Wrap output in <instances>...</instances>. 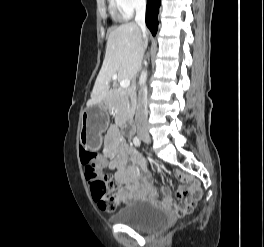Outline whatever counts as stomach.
Here are the masks:
<instances>
[{
  "instance_id": "1",
  "label": "stomach",
  "mask_w": 264,
  "mask_h": 247,
  "mask_svg": "<svg viewBox=\"0 0 264 247\" xmlns=\"http://www.w3.org/2000/svg\"><path fill=\"white\" fill-rule=\"evenodd\" d=\"M108 124L107 108L98 104L88 109L82 117V126L79 134L80 143L93 149L101 145V132Z\"/></svg>"
}]
</instances>
